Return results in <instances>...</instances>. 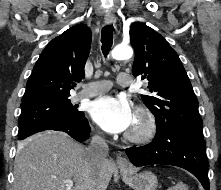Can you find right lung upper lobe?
Wrapping results in <instances>:
<instances>
[{
    "label": "right lung upper lobe",
    "mask_w": 221,
    "mask_h": 190,
    "mask_svg": "<svg viewBox=\"0 0 221 190\" xmlns=\"http://www.w3.org/2000/svg\"><path fill=\"white\" fill-rule=\"evenodd\" d=\"M91 46V30L75 25L54 38L43 50L27 81L21 106L63 99L84 78Z\"/></svg>",
    "instance_id": "right-lung-upper-lobe-1"
}]
</instances>
